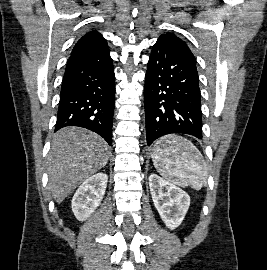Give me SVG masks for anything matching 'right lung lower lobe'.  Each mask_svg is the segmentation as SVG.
Returning a JSON list of instances; mask_svg holds the SVG:
<instances>
[{
    "instance_id": "98d812e1",
    "label": "right lung lower lobe",
    "mask_w": 267,
    "mask_h": 270,
    "mask_svg": "<svg viewBox=\"0 0 267 270\" xmlns=\"http://www.w3.org/2000/svg\"><path fill=\"white\" fill-rule=\"evenodd\" d=\"M115 76L107 43L71 55L62 81L55 131L79 126L112 141Z\"/></svg>"
}]
</instances>
